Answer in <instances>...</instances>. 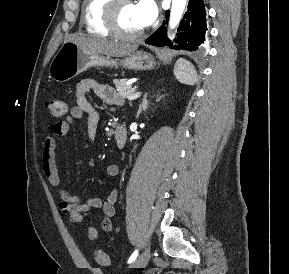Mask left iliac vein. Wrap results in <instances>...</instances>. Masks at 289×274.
<instances>
[{"label": "left iliac vein", "instance_id": "obj_1", "mask_svg": "<svg viewBox=\"0 0 289 274\" xmlns=\"http://www.w3.org/2000/svg\"><path fill=\"white\" fill-rule=\"evenodd\" d=\"M149 259H150V249L146 248L143 251V253L131 263L129 268H143L148 264Z\"/></svg>", "mask_w": 289, "mask_h": 274}]
</instances>
